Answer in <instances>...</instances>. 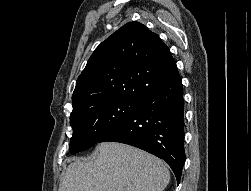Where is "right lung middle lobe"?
<instances>
[{
  "label": "right lung middle lobe",
  "instance_id": "right-lung-middle-lobe-1",
  "mask_svg": "<svg viewBox=\"0 0 251 191\" xmlns=\"http://www.w3.org/2000/svg\"><path fill=\"white\" fill-rule=\"evenodd\" d=\"M139 103L126 100H115L93 106L73 109L70 125L73 136L69 152L77 153L98 143L106 134L126 120Z\"/></svg>",
  "mask_w": 251,
  "mask_h": 191
}]
</instances>
